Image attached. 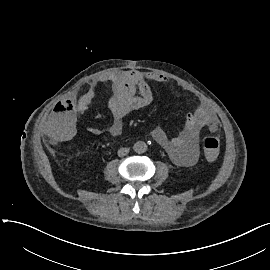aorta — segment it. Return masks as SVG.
Wrapping results in <instances>:
<instances>
[{"label": "aorta", "instance_id": "aorta-1", "mask_svg": "<svg viewBox=\"0 0 270 270\" xmlns=\"http://www.w3.org/2000/svg\"><path fill=\"white\" fill-rule=\"evenodd\" d=\"M133 150L138 154H142L147 151V144L144 141H137L133 145Z\"/></svg>", "mask_w": 270, "mask_h": 270}]
</instances>
